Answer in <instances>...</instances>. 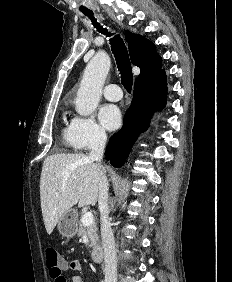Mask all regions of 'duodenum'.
Segmentation results:
<instances>
[{"instance_id":"1","label":"duodenum","mask_w":232,"mask_h":282,"mask_svg":"<svg viewBox=\"0 0 232 282\" xmlns=\"http://www.w3.org/2000/svg\"><path fill=\"white\" fill-rule=\"evenodd\" d=\"M91 258L95 263H101L104 258V251L100 245H95L91 251Z\"/></svg>"}]
</instances>
